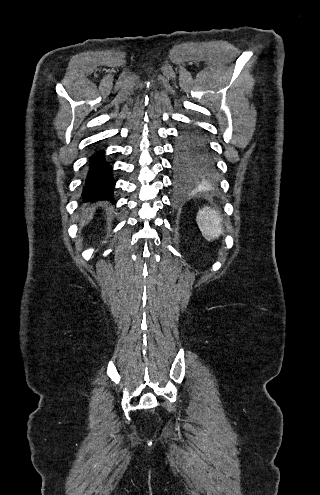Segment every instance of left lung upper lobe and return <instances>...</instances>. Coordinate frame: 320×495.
<instances>
[{
    "mask_svg": "<svg viewBox=\"0 0 320 495\" xmlns=\"http://www.w3.org/2000/svg\"><path fill=\"white\" fill-rule=\"evenodd\" d=\"M174 167L179 174L187 175L194 172H206L211 166L199 149L198 138L194 129L181 132L176 146Z\"/></svg>",
    "mask_w": 320,
    "mask_h": 495,
    "instance_id": "5c2ea615",
    "label": "left lung upper lobe"
}]
</instances>
